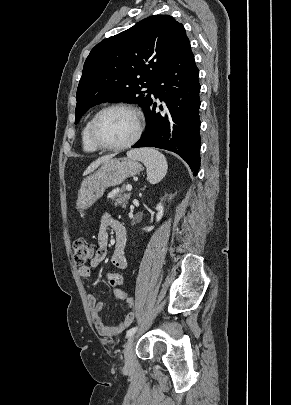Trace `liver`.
<instances>
[{
    "label": "liver",
    "instance_id": "liver-1",
    "mask_svg": "<svg viewBox=\"0 0 291 405\" xmlns=\"http://www.w3.org/2000/svg\"><path fill=\"white\" fill-rule=\"evenodd\" d=\"M112 155L109 156H103L99 159H97L95 162L91 163L90 166L85 170L83 175H87L91 172H93L95 169H97L102 163L106 162L107 160L111 159Z\"/></svg>",
    "mask_w": 291,
    "mask_h": 405
}]
</instances>
